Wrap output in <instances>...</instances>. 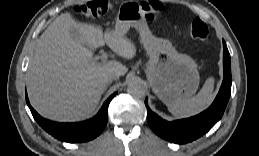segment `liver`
Masks as SVG:
<instances>
[{
	"instance_id": "liver-1",
	"label": "liver",
	"mask_w": 259,
	"mask_h": 156,
	"mask_svg": "<svg viewBox=\"0 0 259 156\" xmlns=\"http://www.w3.org/2000/svg\"><path fill=\"white\" fill-rule=\"evenodd\" d=\"M79 34L74 39L71 30ZM107 44L120 57L131 59L136 46L124 32L106 30L75 20L70 13L58 16L40 36L27 70V92L34 109L58 122L89 116L97 107L110 72L124 75L117 61L92 62L96 48Z\"/></svg>"
}]
</instances>
